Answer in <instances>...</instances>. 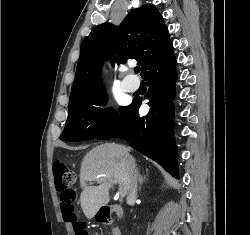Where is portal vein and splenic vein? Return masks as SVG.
Listing matches in <instances>:
<instances>
[{"mask_svg":"<svg viewBox=\"0 0 250 235\" xmlns=\"http://www.w3.org/2000/svg\"><path fill=\"white\" fill-rule=\"evenodd\" d=\"M120 195H121L122 197L125 196V195H126V191L120 190Z\"/></svg>","mask_w":250,"mask_h":235,"instance_id":"portal-vein-and-splenic-vein-1","label":"portal vein and splenic vein"}]
</instances>
